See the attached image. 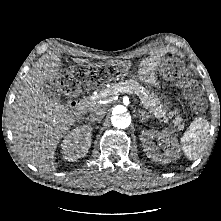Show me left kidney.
I'll return each mask as SVG.
<instances>
[{
	"mask_svg": "<svg viewBox=\"0 0 221 221\" xmlns=\"http://www.w3.org/2000/svg\"><path fill=\"white\" fill-rule=\"evenodd\" d=\"M154 138H156L161 147L165 149L164 153H160L158 148L154 147V142L152 141ZM140 140L142 141L143 148L146 151L148 158L152 159L153 161L168 163L177 157L176 140L171 133L166 130L162 132H142Z\"/></svg>",
	"mask_w": 221,
	"mask_h": 221,
	"instance_id": "1",
	"label": "left kidney"
}]
</instances>
